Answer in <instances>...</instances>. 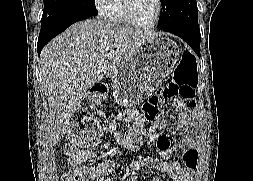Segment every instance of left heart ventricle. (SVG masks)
Returning a JSON list of instances; mask_svg holds the SVG:
<instances>
[{"instance_id":"obj_1","label":"left heart ventricle","mask_w":253,"mask_h":181,"mask_svg":"<svg viewBox=\"0 0 253 181\" xmlns=\"http://www.w3.org/2000/svg\"><path fill=\"white\" fill-rule=\"evenodd\" d=\"M133 18L141 23H150L156 14V0H129Z\"/></svg>"}]
</instances>
